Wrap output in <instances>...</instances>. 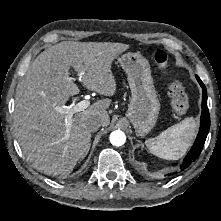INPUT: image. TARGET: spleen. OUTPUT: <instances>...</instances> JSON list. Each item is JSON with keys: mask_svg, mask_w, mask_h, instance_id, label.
<instances>
[{"mask_svg": "<svg viewBox=\"0 0 221 221\" xmlns=\"http://www.w3.org/2000/svg\"><path fill=\"white\" fill-rule=\"evenodd\" d=\"M197 125L193 117L169 127L157 137L145 141L152 154L166 160H178L185 155L195 138Z\"/></svg>", "mask_w": 221, "mask_h": 221, "instance_id": "spleen-1", "label": "spleen"}]
</instances>
